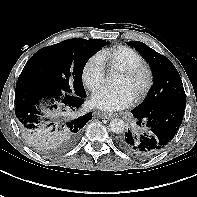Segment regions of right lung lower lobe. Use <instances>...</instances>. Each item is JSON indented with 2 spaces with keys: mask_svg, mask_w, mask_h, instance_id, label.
<instances>
[{
  "mask_svg": "<svg viewBox=\"0 0 197 197\" xmlns=\"http://www.w3.org/2000/svg\"><path fill=\"white\" fill-rule=\"evenodd\" d=\"M16 117L25 136L42 145L68 149L78 140L92 112L75 117L84 97L64 94L48 79L21 73L15 89Z\"/></svg>",
  "mask_w": 197,
  "mask_h": 197,
  "instance_id": "1",
  "label": "right lung lower lobe"
}]
</instances>
